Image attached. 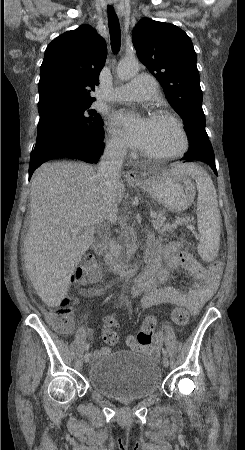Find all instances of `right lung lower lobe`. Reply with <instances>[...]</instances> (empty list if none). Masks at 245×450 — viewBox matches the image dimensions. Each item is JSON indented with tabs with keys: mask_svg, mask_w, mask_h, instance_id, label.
<instances>
[{
	"mask_svg": "<svg viewBox=\"0 0 245 450\" xmlns=\"http://www.w3.org/2000/svg\"><path fill=\"white\" fill-rule=\"evenodd\" d=\"M103 149L104 143L102 142L101 135L100 141L96 144L68 145L47 152L31 153V160L29 165V180L35 169L48 160L59 157H71L83 160L88 163H96L98 162Z\"/></svg>",
	"mask_w": 245,
	"mask_h": 450,
	"instance_id": "right-lung-lower-lobe-1",
	"label": "right lung lower lobe"
}]
</instances>
